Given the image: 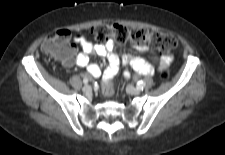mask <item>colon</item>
Here are the masks:
<instances>
[{
	"instance_id": "colon-1",
	"label": "colon",
	"mask_w": 225,
	"mask_h": 155,
	"mask_svg": "<svg viewBox=\"0 0 225 155\" xmlns=\"http://www.w3.org/2000/svg\"><path fill=\"white\" fill-rule=\"evenodd\" d=\"M91 33L97 41H113L115 44L124 45L128 42L136 44L148 43L156 50L162 53H168L176 47V39L168 34L158 31H151L144 28L129 29L120 24H100L92 28ZM71 32L68 30H59L47 37L42 48L45 53L62 61H69L74 53V46L71 43ZM123 59L122 54L116 53L113 60L110 62L118 63ZM173 72V65L171 63H164L160 70V76L165 78L167 74ZM102 97L109 100L112 97L113 90L112 83L105 80L102 83Z\"/></svg>"
}]
</instances>
